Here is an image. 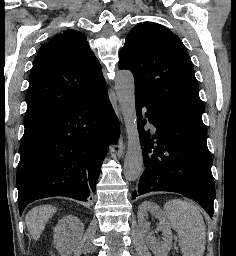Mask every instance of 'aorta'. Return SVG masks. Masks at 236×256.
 Here are the masks:
<instances>
[{
	"mask_svg": "<svg viewBox=\"0 0 236 256\" xmlns=\"http://www.w3.org/2000/svg\"><path fill=\"white\" fill-rule=\"evenodd\" d=\"M115 91L128 138L124 159V176L128 181H135L143 170V155L137 126L135 84L130 71L121 70L117 72L115 76Z\"/></svg>",
	"mask_w": 236,
	"mask_h": 256,
	"instance_id": "obj_1",
	"label": "aorta"
}]
</instances>
